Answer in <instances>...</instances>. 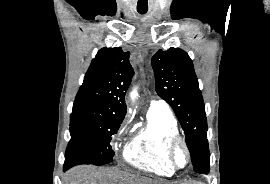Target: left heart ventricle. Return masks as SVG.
Wrapping results in <instances>:
<instances>
[{
	"label": "left heart ventricle",
	"instance_id": "obj_1",
	"mask_svg": "<svg viewBox=\"0 0 270 184\" xmlns=\"http://www.w3.org/2000/svg\"><path fill=\"white\" fill-rule=\"evenodd\" d=\"M175 161L179 166H184L187 161V156L184 149L180 146L175 152Z\"/></svg>",
	"mask_w": 270,
	"mask_h": 184
}]
</instances>
